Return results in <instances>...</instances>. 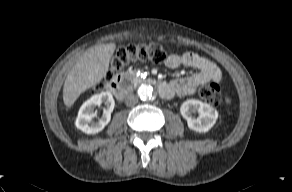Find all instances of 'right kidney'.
<instances>
[{
	"label": "right kidney",
	"mask_w": 292,
	"mask_h": 192,
	"mask_svg": "<svg viewBox=\"0 0 292 192\" xmlns=\"http://www.w3.org/2000/svg\"><path fill=\"white\" fill-rule=\"evenodd\" d=\"M105 104L103 115L99 121L95 122V107ZM115 101L110 92H101L93 95L90 99L82 104L75 121L78 129L86 134H96L104 129L111 119V113L114 109Z\"/></svg>",
	"instance_id": "right-kidney-1"
}]
</instances>
